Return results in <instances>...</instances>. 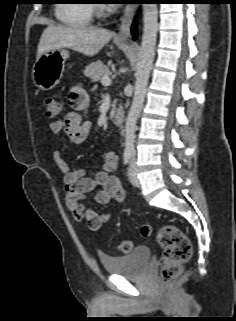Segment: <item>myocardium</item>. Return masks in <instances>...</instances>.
<instances>
[{
	"instance_id": "obj_1",
	"label": "myocardium",
	"mask_w": 236,
	"mask_h": 321,
	"mask_svg": "<svg viewBox=\"0 0 236 321\" xmlns=\"http://www.w3.org/2000/svg\"><path fill=\"white\" fill-rule=\"evenodd\" d=\"M95 8L98 10L99 14H103L104 11H105V6L104 5L98 4V5H95Z\"/></svg>"
}]
</instances>
